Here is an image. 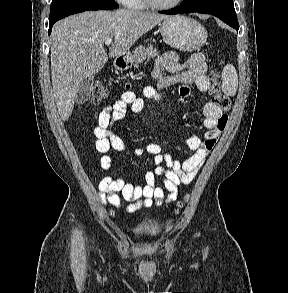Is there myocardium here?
I'll list each match as a JSON object with an SVG mask.
<instances>
[{"instance_id": "myocardium-1", "label": "myocardium", "mask_w": 288, "mask_h": 293, "mask_svg": "<svg viewBox=\"0 0 288 293\" xmlns=\"http://www.w3.org/2000/svg\"><path fill=\"white\" fill-rule=\"evenodd\" d=\"M144 1L147 5H149L152 8L159 9V10H169V9L177 7L181 3L182 0H173L172 2L166 3V4L158 3L155 0H144Z\"/></svg>"}]
</instances>
